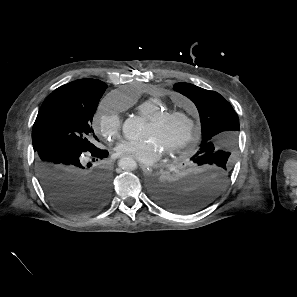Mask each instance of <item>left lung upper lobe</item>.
<instances>
[{
	"instance_id": "left-lung-upper-lobe-1",
	"label": "left lung upper lobe",
	"mask_w": 297,
	"mask_h": 297,
	"mask_svg": "<svg viewBox=\"0 0 297 297\" xmlns=\"http://www.w3.org/2000/svg\"><path fill=\"white\" fill-rule=\"evenodd\" d=\"M174 90L191 99L198 108L202 143L193 157L214 159L226 163L228 168L236 154L239 118L220 94L188 83H177Z\"/></svg>"
}]
</instances>
